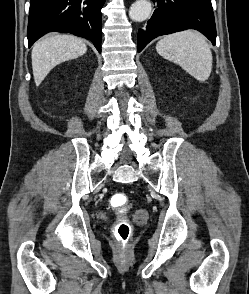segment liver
Listing matches in <instances>:
<instances>
[{"mask_svg": "<svg viewBox=\"0 0 249 294\" xmlns=\"http://www.w3.org/2000/svg\"><path fill=\"white\" fill-rule=\"evenodd\" d=\"M87 46L73 35H54L41 39L32 49V69L36 86L58 64L85 54Z\"/></svg>", "mask_w": 249, "mask_h": 294, "instance_id": "liver-1", "label": "liver"}]
</instances>
